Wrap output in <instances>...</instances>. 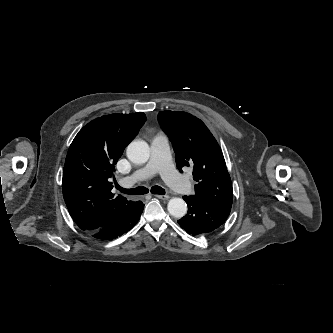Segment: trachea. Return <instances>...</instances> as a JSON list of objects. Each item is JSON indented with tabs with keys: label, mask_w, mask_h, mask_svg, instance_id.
Returning a JSON list of instances; mask_svg holds the SVG:
<instances>
[{
	"label": "trachea",
	"mask_w": 333,
	"mask_h": 333,
	"mask_svg": "<svg viewBox=\"0 0 333 333\" xmlns=\"http://www.w3.org/2000/svg\"><path fill=\"white\" fill-rule=\"evenodd\" d=\"M117 189L120 190V192H122L124 194H129V195H143V194H146L149 192V190L146 187H137L134 189H124V188L120 187L119 185H117ZM150 191L152 194H159V195L165 194V190L160 186H153Z\"/></svg>",
	"instance_id": "obj_1"
}]
</instances>
